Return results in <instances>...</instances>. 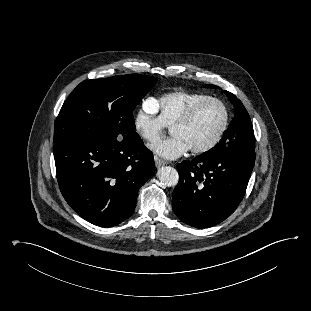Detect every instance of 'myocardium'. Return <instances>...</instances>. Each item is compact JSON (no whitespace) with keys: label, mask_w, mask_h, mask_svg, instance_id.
I'll use <instances>...</instances> for the list:
<instances>
[{"label":"myocardium","mask_w":311,"mask_h":311,"mask_svg":"<svg viewBox=\"0 0 311 311\" xmlns=\"http://www.w3.org/2000/svg\"><path fill=\"white\" fill-rule=\"evenodd\" d=\"M208 102H216L221 105L223 108L224 116H223V121L221 124L220 129L218 130L217 134L215 137L206 145L199 147V148H192L190 149L192 153L194 154H203L206 153L210 150H212L222 139L223 135L225 134L228 124H229V110L227 105L219 98L216 97H206L194 105H192L175 123L172 124L171 129L174 127H180V126H185L188 123L191 122V120L194 118L195 114L197 111L206 103Z\"/></svg>","instance_id":"myocardium-1"}]
</instances>
